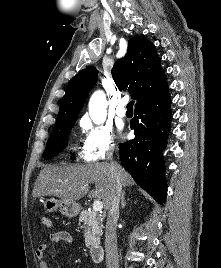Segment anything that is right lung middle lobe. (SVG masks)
I'll return each instance as SVG.
<instances>
[{
	"label": "right lung middle lobe",
	"mask_w": 221,
	"mask_h": 268,
	"mask_svg": "<svg viewBox=\"0 0 221 268\" xmlns=\"http://www.w3.org/2000/svg\"><path fill=\"white\" fill-rule=\"evenodd\" d=\"M76 119L55 124L49 140L47 141L43 158H51L58 155L68 144V136Z\"/></svg>",
	"instance_id": "obj_1"
}]
</instances>
